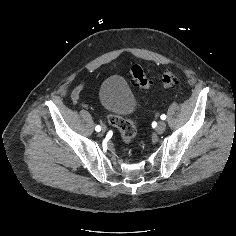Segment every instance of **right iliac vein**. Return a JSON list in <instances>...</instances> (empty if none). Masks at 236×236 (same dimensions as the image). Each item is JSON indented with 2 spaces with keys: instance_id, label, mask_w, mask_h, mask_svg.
<instances>
[{
  "instance_id": "1",
  "label": "right iliac vein",
  "mask_w": 236,
  "mask_h": 236,
  "mask_svg": "<svg viewBox=\"0 0 236 236\" xmlns=\"http://www.w3.org/2000/svg\"><path fill=\"white\" fill-rule=\"evenodd\" d=\"M97 122L99 123L100 126H102V127H101L102 132L105 133L106 130H107L106 126H104V125H105V122H104L101 118H98V119H97Z\"/></svg>"
}]
</instances>
